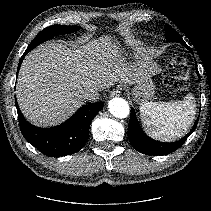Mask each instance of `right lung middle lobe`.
I'll return each mask as SVG.
<instances>
[{
	"label": "right lung middle lobe",
	"instance_id": "obj_1",
	"mask_svg": "<svg viewBox=\"0 0 211 211\" xmlns=\"http://www.w3.org/2000/svg\"><path fill=\"white\" fill-rule=\"evenodd\" d=\"M79 26H65V25H52L44 30H42L31 42V44L28 46L27 50L30 52L33 48L41 44L42 42L50 39L53 36H56L58 34H65V33H71L74 31L79 30Z\"/></svg>",
	"mask_w": 211,
	"mask_h": 211
}]
</instances>
